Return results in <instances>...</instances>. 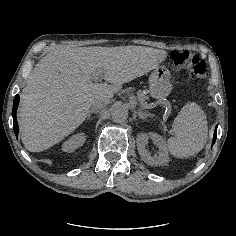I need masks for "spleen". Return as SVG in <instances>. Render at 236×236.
<instances>
[{"label":"spleen","instance_id":"1","mask_svg":"<svg viewBox=\"0 0 236 236\" xmlns=\"http://www.w3.org/2000/svg\"><path fill=\"white\" fill-rule=\"evenodd\" d=\"M172 128L175 135L168 139V148L176 157L193 156L200 152L207 142L206 114L195 102L182 107Z\"/></svg>","mask_w":236,"mask_h":236}]
</instances>
